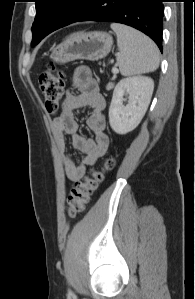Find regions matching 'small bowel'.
<instances>
[{
  "label": "small bowel",
  "instance_id": "obj_1",
  "mask_svg": "<svg viewBox=\"0 0 195 299\" xmlns=\"http://www.w3.org/2000/svg\"><path fill=\"white\" fill-rule=\"evenodd\" d=\"M71 83L77 93L66 92L62 111L52 121V130L64 157L66 177L70 181L76 182L84 177L89 166L94 165L106 153L109 147V138L104 132L106 122L103 111L106 102L90 70L76 68L71 74ZM85 108L90 109L86 118V126L94 133V139L85 138L78 133V122L74 113ZM66 135L71 137L73 148L84 154L83 159L78 163L65 154Z\"/></svg>",
  "mask_w": 195,
  "mask_h": 299
}]
</instances>
